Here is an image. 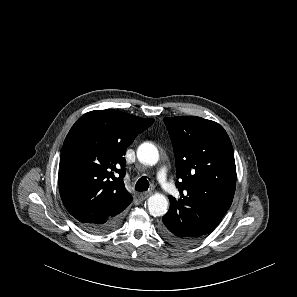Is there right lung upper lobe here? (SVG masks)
I'll list each match as a JSON object with an SVG mask.
<instances>
[{
	"instance_id": "cb5924a9",
	"label": "right lung upper lobe",
	"mask_w": 297,
	"mask_h": 297,
	"mask_svg": "<svg viewBox=\"0 0 297 297\" xmlns=\"http://www.w3.org/2000/svg\"><path fill=\"white\" fill-rule=\"evenodd\" d=\"M153 122L116 110H95L73 125L61 151L59 191L82 227L101 224L132 202L123 182L124 155Z\"/></svg>"
}]
</instances>
